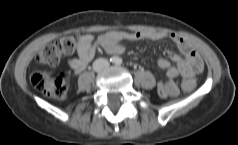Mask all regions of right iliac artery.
<instances>
[{"label": "right iliac artery", "instance_id": "obj_1", "mask_svg": "<svg viewBox=\"0 0 238 145\" xmlns=\"http://www.w3.org/2000/svg\"><path fill=\"white\" fill-rule=\"evenodd\" d=\"M110 62L116 63V62H117V58H116V57H111V58H110Z\"/></svg>", "mask_w": 238, "mask_h": 145}]
</instances>
